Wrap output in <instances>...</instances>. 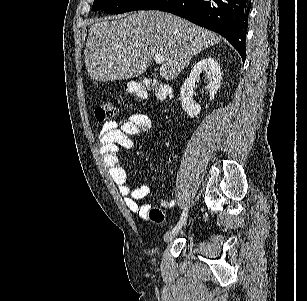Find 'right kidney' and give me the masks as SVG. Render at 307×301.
I'll use <instances>...</instances> for the list:
<instances>
[{
	"label": "right kidney",
	"instance_id": "1",
	"mask_svg": "<svg viewBox=\"0 0 307 301\" xmlns=\"http://www.w3.org/2000/svg\"><path fill=\"white\" fill-rule=\"evenodd\" d=\"M200 74H206V86L208 88L210 100L215 98V94L221 84V68L215 58L207 56V58H201L199 62L194 64L188 78L184 80L180 92L179 100H181L182 108L186 114H189L190 118L198 116L201 112L200 104L193 102V88L196 86V82L199 80ZM210 102L205 104V108H208Z\"/></svg>",
	"mask_w": 307,
	"mask_h": 301
}]
</instances>
